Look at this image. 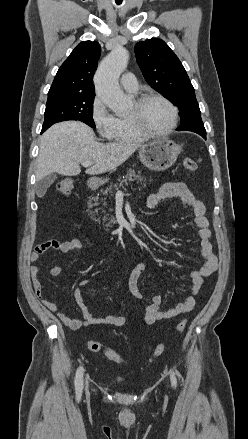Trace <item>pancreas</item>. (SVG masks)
Instances as JSON below:
<instances>
[{
	"instance_id": "obj_1",
	"label": "pancreas",
	"mask_w": 248,
	"mask_h": 439,
	"mask_svg": "<svg viewBox=\"0 0 248 439\" xmlns=\"http://www.w3.org/2000/svg\"><path fill=\"white\" fill-rule=\"evenodd\" d=\"M138 180L140 182H145L146 178L144 176H141V174L138 172L137 174L135 173L134 170H128L127 174L125 176L119 177L118 178V183L114 184L113 186L110 185L108 186L105 190H104V194H112L113 193V187L114 188H118L120 186H123V184H127V181H134V180ZM112 223H115L114 219H112L108 224H106V227H111Z\"/></svg>"
}]
</instances>
